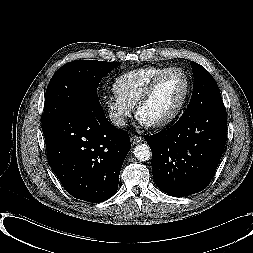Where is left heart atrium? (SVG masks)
Wrapping results in <instances>:
<instances>
[{"instance_id":"39dd6f15","label":"left heart atrium","mask_w":253,"mask_h":253,"mask_svg":"<svg viewBox=\"0 0 253 253\" xmlns=\"http://www.w3.org/2000/svg\"><path fill=\"white\" fill-rule=\"evenodd\" d=\"M138 120H139V123L142 125V126H145V127H148L150 126L152 123L149 122L147 119H145L144 117L142 116H139L138 117Z\"/></svg>"}]
</instances>
